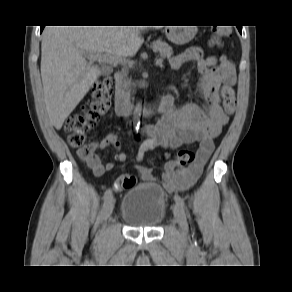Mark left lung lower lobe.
<instances>
[{
    "label": "left lung lower lobe",
    "instance_id": "1",
    "mask_svg": "<svg viewBox=\"0 0 292 292\" xmlns=\"http://www.w3.org/2000/svg\"><path fill=\"white\" fill-rule=\"evenodd\" d=\"M237 28H238L239 32L242 33V27L239 26V27H237Z\"/></svg>",
    "mask_w": 292,
    "mask_h": 292
}]
</instances>
